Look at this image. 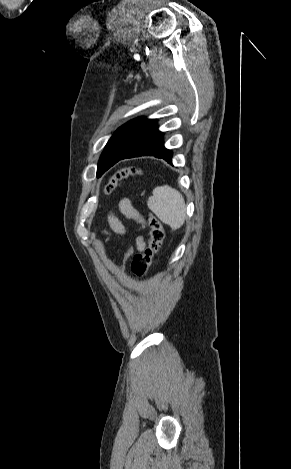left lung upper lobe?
I'll return each mask as SVG.
<instances>
[{
  "mask_svg": "<svg viewBox=\"0 0 291 469\" xmlns=\"http://www.w3.org/2000/svg\"><path fill=\"white\" fill-rule=\"evenodd\" d=\"M156 129V120L144 117L136 118L121 126L109 139L101 154L97 176L100 177L120 156Z\"/></svg>",
  "mask_w": 291,
  "mask_h": 469,
  "instance_id": "1",
  "label": "left lung upper lobe"
}]
</instances>
